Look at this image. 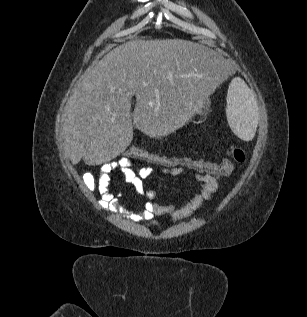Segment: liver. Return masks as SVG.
<instances>
[{
  "label": "liver",
  "instance_id": "obj_1",
  "mask_svg": "<svg viewBox=\"0 0 307 317\" xmlns=\"http://www.w3.org/2000/svg\"><path fill=\"white\" fill-rule=\"evenodd\" d=\"M229 71L219 51L191 41L126 42L87 70L74 89L62 117L65 153L72 164L83 158L94 166L127 148L133 126L149 137L172 133L191 119L204 95L228 86Z\"/></svg>",
  "mask_w": 307,
  "mask_h": 317
}]
</instances>
